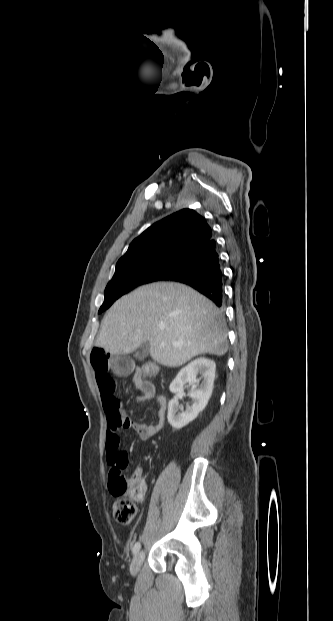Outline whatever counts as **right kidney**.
I'll return each mask as SVG.
<instances>
[{"label":"right kidney","instance_id":"1","mask_svg":"<svg viewBox=\"0 0 333 621\" xmlns=\"http://www.w3.org/2000/svg\"><path fill=\"white\" fill-rule=\"evenodd\" d=\"M215 368L213 360L200 357L190 362L177 374L170 385V391L172 393L183 392L185 383H193L189 391V396L192 398L193 403L184 411L183 406L179 404L178 400H170L167 419L174 429L179 430L186 426L204 410L212 394ZM198 375H200V378H197Z\"/></svg>","mask_w":333,"mask_h":621}]
</instances>
